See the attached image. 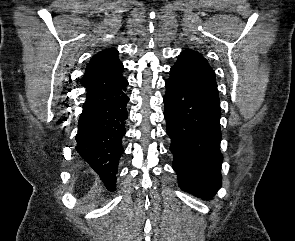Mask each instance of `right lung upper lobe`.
<instances>
[{
  "instance_id": "1",
  "label": "right lung upper lobe",
  "mask_w": 295,
  "mask_h": 241,
  "mask_svg": "<svg viewBox=\"0 0 295 241\" xmlns=\"http://www.w3.org/2000/svg\"><path fill=\"white\" fill-rule=\"evenodd\" d=\"M123 65L114 48L97 53L88 63L83 84L87 93L114 87L126 80L122 77Z\"/></svg>"
}]
</instances>
